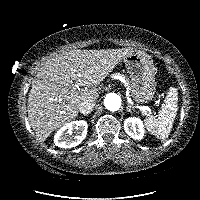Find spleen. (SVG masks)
<instances>
[{"mask_svg": "<svg viewBox=\"0 0 200 200\" xmlns=\"http://www.w3.org/2000/svg\"><path fill=\"white\" fill-rule=\"evenodd\" d=\"M178 92L176 88H170L165 104L159 110L158 116H152L145 120L147 130L158 139L169 137L178 109Z\"/></svg>", "mask_w": 200, "mask_h": 200, "instance_id": "1", "label": "spleen"}]
</instances>
